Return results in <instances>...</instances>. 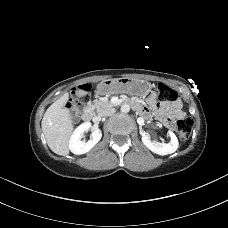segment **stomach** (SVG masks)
<instances>
[{"mask_svg": "<svg viewBox=\"0 0 228 228\" xmlns=\"http://www.w3.org/2000/svg\"><path fill=\"white\" fill-rule=\"evenodd\" d=\"M152 85L147 80H138L131 78L107 79L100 82L97 86L98 95H112L118 93H127L144 97L151 92Z\"/></svg>", "mask_w": 228, "mask_h": 228, "instance_id": "stomach-1", "label": "stomach"}]
</instances>
